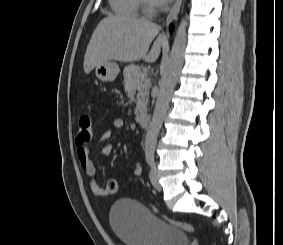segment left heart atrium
<instances>
[{"mask_svg": "<svg viewBox=\"0 0 283 245\" xmlns=\"http://www.w3.org/2000/svg\"><path fill=\"white\" fill-rule=\"evenodd\" d=\"M171 0H151V2L157 6H164L168 4Z\"/></svg>", "mask_w": 283, "mask_h": 245, "instance_id": "obj_1", "label": "left heart atrium"}]
</instances>
